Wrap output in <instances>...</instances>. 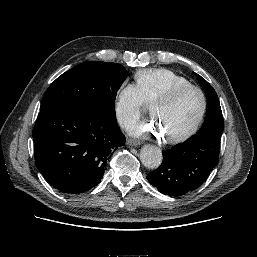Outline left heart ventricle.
I'll use <instances>...</instances> for the list:
<instances>
[{
	"label": "left heart ventricle",
	"mask_w": 257,
	"mask_h": 257,
	"mask_svg": "<svg viewBox=\"0 0 257 257\" xmlns=\"http://www.w3.org/2000/svg\"><path fill=\"white\" fill-rule=\"evenodd\" d=\"M201 109V99L196 91H187L171 104L158 105L153 114L160 122L165 135L171 136L187 130Z\"/></svg>",
	"instance_id": "left-heart-ventricle-1"
}]
</instances>
